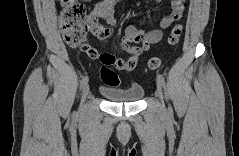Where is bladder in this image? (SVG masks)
Listing matches in <instances>:
<instances>
[{
  "mask_svg": "<svg viewBox=\"0 0 239 156\" xmlns=\"http://www.w3.org/2000/svg\"><path fill=\"white\" fill-rule=\"evenodd\" d=\"M101 92L110 102H136L139 101L145 93L142 87H130L124 90L103 88Z\"/></svg>",
  "mask_w": 239,
  "mask_h": 156,
  "instance_id": "obj_1",
  "label": "bladder"
}]
</instances>
